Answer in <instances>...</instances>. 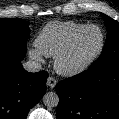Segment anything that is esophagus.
Returning <instances> with one entry per match:
<instances>
[{
	"label": "esophagus",
	"mask_w": 119,
	"mask_h": 119,
	"mask_svg": "<svg viewBox=\"0 0 119 119\" xmlns=\"http://www.w3.org/2000/svg\"><path fill=\"white\" fill-rule=\"evenodd\" d=\"M56 84H57V80L55 78H53L51 76L48 77L47 82H46V85L49 88L53 89L56 86Z\"/></svg>",
	"instance_id": "34e87169"
}]
</instances>
